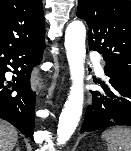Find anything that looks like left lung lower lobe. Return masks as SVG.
Returning a JSON list of instances; mask_svg holds the SVG:
<instances>
[{
    "mask_svg": "<svg viewBox=\"0 0 131 151\" xmlns=\"http://www.w3.org/2000/svg\"><path fill=\"white\" fill-rule=\"evenodd\" d=\"M106 82H100L104 93L90 91L92 104L87 107L80 132H90L111 126H131V75L104 67Z\"/></svg>",
    "mask_w": 131,
    "mask_h": 151,
    "instance_id": "0a47b994",
    "label": "left lung lower lobe"
}]
</instances>
